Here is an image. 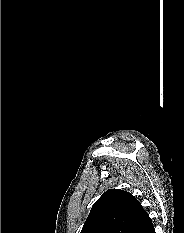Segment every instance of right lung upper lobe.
Returning a JSON list of instances; mask_svg holds the SVG:
<instances>
[{
	"instance_id": "cb5924a9",
	"label": "right lung upper lobe",
	"mask_w": 184,
	"mask_h": 233,
	"mask_svg": "<svg viewBox=\"0 0 184 233\" xmlns=\"http://www.w3.org/2000/svg\"><path fill=\"white\" fill-rule=\"evenodd\" d=\"M148 218L132 194L110 189L92 206L81 233H134Z\"/></svg>"
}]
</instances>
